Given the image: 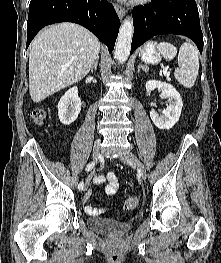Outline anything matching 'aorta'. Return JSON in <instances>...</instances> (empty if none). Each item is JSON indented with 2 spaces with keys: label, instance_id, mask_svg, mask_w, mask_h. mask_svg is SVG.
I'll return each instance as SVG.
<instances>
[{
  "label": "aorta",
  "instance_id": "762f6f07",
  "mask_svg": "<svg viewBox=\"0 0 221 263\" xmlns=\"http://www.w3.org/2000/svg\"><path fill=\"white\" fill-rule=\"evenodd\" d=\"M134 32L132 19L127 17L119 30L116 41L114 57L119 62H125L128 59L131 49V42Z\"/></svg>",
  "mask_w": 221,
  "mask_h": 263
}]
</instances>
